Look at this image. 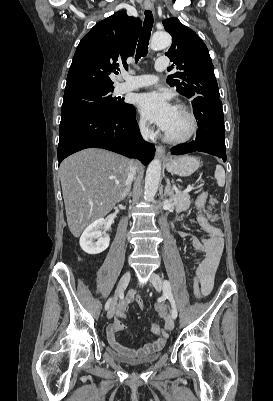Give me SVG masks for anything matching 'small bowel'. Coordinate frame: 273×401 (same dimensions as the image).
Returning <instances> with one entry per match:
<instances>
[{
	"mask_svg": "<svg viewBox=\"0 0 273 401\" xmlns=\"http://www.w3.org/2000/svg\"><path fill=\"white\" fill-rule=\"evenodd\" d=\"M197 222L201 224L202 229L206 230V232H208L209 229H214L215 232H219V230L212 226L208 215H199L197 217ZM190 241L193 248L204 255L203 260L197 268L196 275H198L197 278L200 284L201 296H207L210 294L214 286L218 263L223 252V239L221 236L220 241H207L206 237L202 239L190 237ZM137 294L140 293L134 292L129 294L125 301L118 305L117 313L112 323L107 328V338L110 345L115 350L122 353H128L129 349L120 342L117 335L119 332L127 330V326L124 323L125 312L130 304H135V296ZM101 302H106V297H101ZM153 310L155 312L159 311L158 315L160 318H166L167 312L170 311V306L155 305ZM151 329L155 334H157L158 339L147 343L143 348L136 351L134 355L140 357L153 355L161 349L162 345L167 344L168 335L166 332H163L156 325H153Z\"/></svg>",
	"mask_w": 273,
	"mask_h": 401,
	"instance_id": "1",
	"label": "small bowel"
}]
</instances>
